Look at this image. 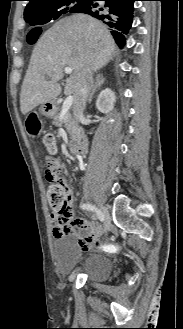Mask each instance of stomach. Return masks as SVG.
<instances>
[{
	"mask_svg": "<svg viewBox=\"0 0 183 329\" xmlns=\"http://www.w3.org/2000/svg\"><path fill=\"white\" fill-rule=\"evenodd\" d=\"M57 111L56 100L46 102L41 107V113L46 116H52Z\"/></svg>",
	"mask_w": 183,
	"mask_h": 329,
	"instance_id": "1",
	"label": "stomach"
}]
</instances>
